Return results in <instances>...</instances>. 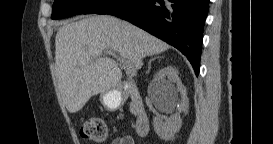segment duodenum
I'll use <instances>...</instances> for the list:
<instances>
[{"mask_svg":"<svg viewBox=\"0 0 273 144\" xmlns=\"http://www.w3.org/2000/svg\"><path fill=\"white\" fill-rule=\"evenodd\" d=\"M117 91L122 97H126L131 101L135 115L136 134L140 137L146 136L150 129V121L137 85L131 81H124L117 86Z\"/></svg>","mask_w":273,"mask_h":144,"instance_id":"410a0bca","label":"duodenum"}]
</instances>
